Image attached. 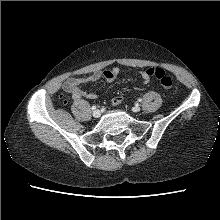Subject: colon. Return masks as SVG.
Returning <instances> with one entry per match:
<instances>
[{
  "label": "colon",
  "mask_w": 220,
  "mask_h": 220,
  "mask_svg": "<svg viewBox=\"0 0 220 220\" xmlns=\"http://www.w3.org/2000/svg\"><path fill=\"white\" fill-rule=\"evenodd\" d=\"M146 74L149 77L156 78L163 89L168 90L172 86V79L160 68L150 67L146 69Z\"/></svg>",
  "instance_id": "colon-1"
}]
</instances>
